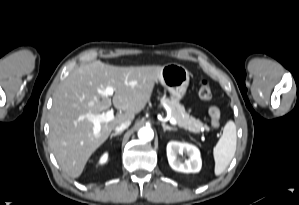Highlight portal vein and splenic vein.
<instances>
[{
  "mask_svg": "<svg viewBox=\"0 0 299 205\" xmlns=\"http://www.w3.org/2000/svg\"><path fill=\"white\" fill-rule=\"evenodd\" d=\"M114 91L115 90L113 87L108 86L105 88L103 94L106 96H113ZM87 118L94 124L93 133L96 135L100 132V129H101L100 124L101 123L109 122L114 119V111L111 109V110H108L106 113H101V114H97V115L89 114V115H87ZM169 121L172 125L177 124V121L173 117H170Z\"/></svg>",
  "mask_w": 299,
  "mask_h": 205,
  "instance_id": "18ae733b",
  "label": "portal vein and splenic vein"
}]
</instances>
